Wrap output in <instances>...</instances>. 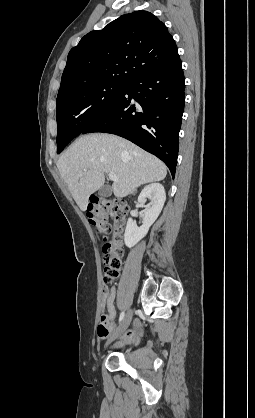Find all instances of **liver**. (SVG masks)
Instances as JSON below:
<instances>
[{
    "label": "liver",
    "instance_id": "liver-1",
    "mask_svg": "<svg viewBox=\"0 0 255 418\" xmlns=\"http://www.w3.org/2000/svg\"><path fill=\"white\" fill-rule=\"evenodd\" d=\"M57 167L82 211L87 209L89 196L103 187L105 173L117 176L112 190L118 198L167 175L160 159L126 139L104 133L79 137L59 158Z\"/></svg>",
    "mask_w": 255,
    "mask_h": 418
}]
</instances>
